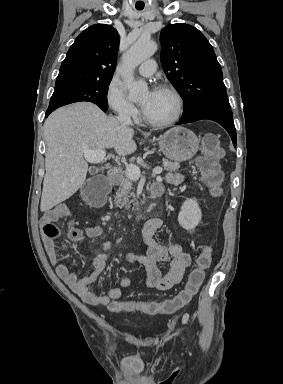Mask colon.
<instances>
[{
  "instance_id": "colon-1",
  "label": "colon",
  "mask_w": 283,
  "mask_h": 384,
  "mask_svg": "<svg viewBox=\"0 0 283 384\" xmlns=\"http://www.w3.org/2000/svg\"><path fill=\"white\" fill-rule=\"evenodd\" d=\"M222 148L218 138L209 134L206 135L198 159V167L202 175V181L209 188L213 196H219L223 182V175L218 165L222 156ZM110 189L109 181L102 176L90 178L80 191L81 200L88 206H101ZM50 236H57L58 229L54 225L47 227ZM70 237L77 239V231H71ZM212 260V250L209 246H204L197 257L196 266L191 271L184 289L174 298L163 302H136V301H117L109 305V309L115 313L122 312H143L147 314H170L188 304L199 291L204 278L205 270L210 266Z\"/></svg>"
}]
</instances>
